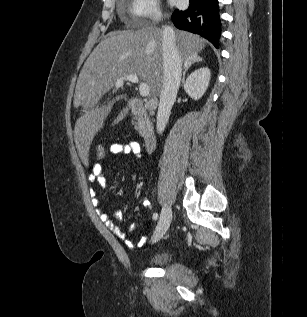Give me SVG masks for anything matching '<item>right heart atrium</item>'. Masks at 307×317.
I'll use <instances>...</instances> for the list:
<instances>
[{
    "mask_svg": "<svg viewBox=\"0 0 307 317\" xmlns=\"http://www.w3.org/2000/svg\"><path fill=\"white\" fill-rule=\"evenodd\" d=\"M128 12L135 21L156 22L161 16L158 0H131Z\"/></svg>",
    "mask_w": 307,
    "mask_h": 317,
    "instance_id": "d8ad5b80",
    "label": "right heart atrium"
}]
</instances>
